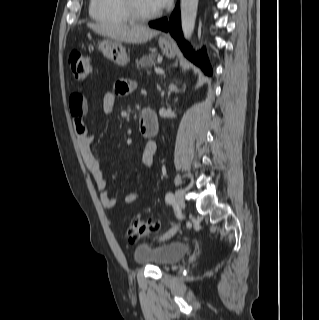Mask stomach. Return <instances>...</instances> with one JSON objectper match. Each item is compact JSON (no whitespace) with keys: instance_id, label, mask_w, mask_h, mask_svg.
<instances>
[{"instance_id":"obj_1","label":"stomach","mask_w":319,"mask_h":320,"mask_svg":"<svg viewBox=\"0 0 319 320\" xmlns=\"http://www.w3.org/2000/svg\"><path fill=\"white\" fill-rule=\"evenodd\" d=\"M158 44L163 55L168 58L174 57L175 46L170 38L160 37ZM98 47L107 59L119 66H125L129 62V57L121 41L106 38L98 43Z\"/></svg>"}]
</instances>
